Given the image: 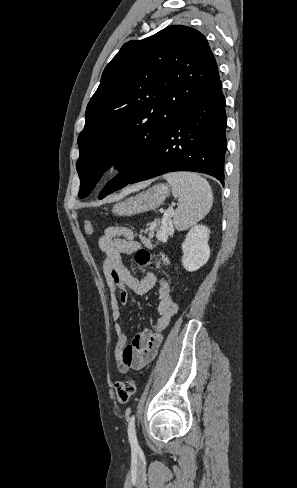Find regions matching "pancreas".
<instances>
[{
  "mask_svg": "<svg viewBox=\"0 0 297 488\" xmlns=\"http://www.w3.org/2000/svg\"><path fill=\"white\" fill-rule=\"evenodd\" d=\"M170 222H171V221H170V219H169V220H168V223H170ZM158 223L160 224V220H158ZM147 231H148V229H146V230H145V232H147Z\"/></svg>",
  "mask_w": 297,
  "mask_h": 488,
  "instance_id": "pancreas-1",
  "label": "pancreas"
}]
</instances>
